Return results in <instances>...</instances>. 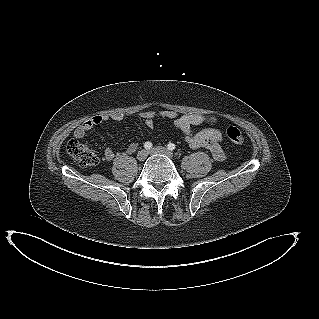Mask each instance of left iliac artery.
Here are the masks:
<instances>
[{"instance_id":"left-iliac-artery-1","label":"left iliac artery","mask_w":319,"mask_h":319,"mask_svg":"<svg viewBox=\"0 0 319 319\" xmlns=\"http://www.w3.org/2000/svg\"><path fill=\"white\" fill-rule=\"evenodd\" d=\"M167 147H168V149H169V150H171V151H172V150H174V149H175V147H176V146H175V144H174V143H169V144L167 145Z\"/></svg>"}]
</instances>
